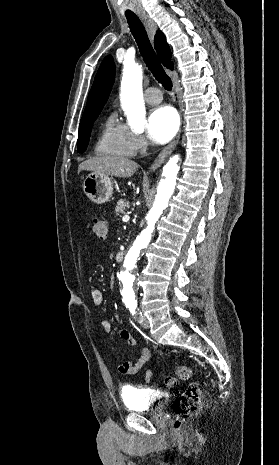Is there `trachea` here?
I'll list each match as a JSON object with an SVG mask.
<instances>
[{
    "mask_svg": "<svg viewBox=\"0 0 279 465\" xmlns=\"http://www.w3.org/2000/svg\"><path fill=\"white\" fill-rule=\"evenodd\" d=\"M126 18L129 24L130 31L136 40V43L149 70L151 71L155 79L166 90H171L172 81L164 71L162 65L160 64L143 24L141 23L139 18L134 14H126Z\"/></svg>",
    "mask_w": 279,
    "mask_h": 465,
    "instance_id": "1",
    "label": "trachea"
}]
</instances>
